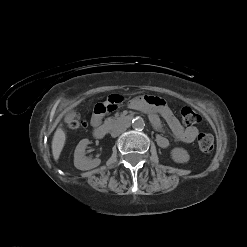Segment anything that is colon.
I'll return each mask as SVG.
<instances>
[{
  "label": "colon",
  "instance_id": "1",
  "mask_svg": "<svg viewBox=\"0 0 247 247\" xmlns=\"http://www.w3.org/2000/svg\"><path fill=\"white\" fill-rule=\"evenodd\" d=\"M182 121L186 126H192L201 119L199 113L191 106L186 105L181 109ZM84 126L83 121L76 117L70 123L71 129H79ZM198 146L203 152H210L214 148V138L211 134L202 133L198 137Z\"/></svg>",
  "mask_w": 247,
  "mask_h": 247
}]
</instances>
